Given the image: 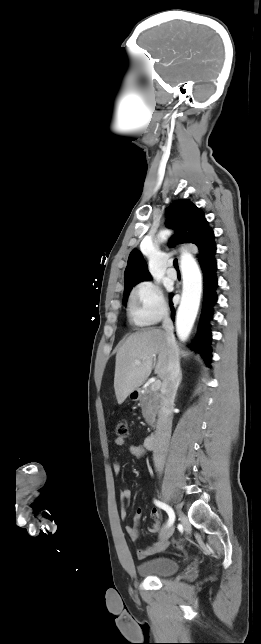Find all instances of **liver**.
Wrapping results in <instances>:
<instances>
[{"label": "liver", "mask_w": 261, "mask_h": 644, "mask_svg": "<svg viewBox=\"0 0 261 644\" xmlns=\"http://www.w3.org/2000/svg\"><path fill=\"white\" fill-rule=\"evenodd\" d=\"M171 350L165 332L159 329L142 330L126 339L116 354L114 389L118 404L147 380L156 355L155 374L165 380ZM136 360L141 363L136 365Z\"/></svg>", "instance_id": "6515ba94"}]
</instances>
